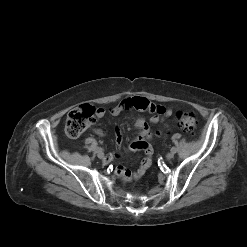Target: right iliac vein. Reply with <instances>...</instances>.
<instances>
[{"label": "right iliac vein", "mask_w": 247, "mask_h": 247, "mask_svg": "<svg viewBox=\"0 0 247 247\" xmlns=\"http://www.w3.org/2000/svg\"><path fill=\"white\" fill-rule=\"evenodd\" d=\"M97 156H98V158L103 159L104 158V153L102 151H98L97 152Z\"/></svg>", "instance_id": "obj_1"}]
</instances>
